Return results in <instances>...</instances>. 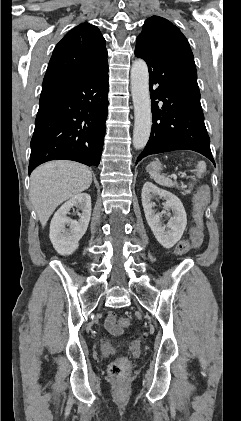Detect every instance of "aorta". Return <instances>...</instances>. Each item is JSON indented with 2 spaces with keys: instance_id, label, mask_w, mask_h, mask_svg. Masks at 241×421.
I'll list each match as a JSON object with an SVG mask.
<instances>
[{
  "instance_id": "aorta-1",
  "label": "aorta",
  "mask_w": 241,
  "mask_h": 421,
  "mask_svg": "<svg viewBox=\"0 0 241 421\" xmlns=\"http://www.w3.org/2000/svg\"><path fill=\"white\" fill-rule=\"evenodd\" d=\"M131 94L134 105L133 146L143 149L150 137L152 126L149 73L144 60L137 59L131 68Z\"/></svg>"
}]
</instances>
